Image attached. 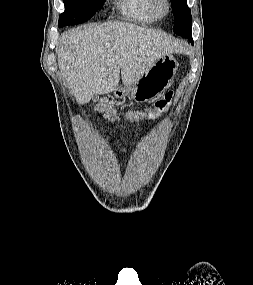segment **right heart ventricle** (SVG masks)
Masks as SVG:
<instances>
[{
  "label": "right heart ventricle",
  "mask_w": 253,
  "mask_h": 285,
  "mask_svg": "<svg viewBox=\"0 0 253 285\" xmlns=\"http://www.w3.org/2000/svg\"><path fill=\"white\" fill-rule=\"evenodd\" d=\"M119 7L124 15L141 23H151L155 20L149 0H120Z\"/></svg>",
  "instance_id": "obj_1"
}]
</instances>
